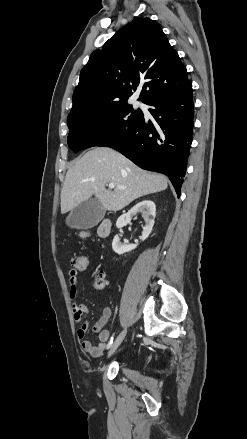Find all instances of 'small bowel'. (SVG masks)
Listing matches in <instances>:
<instances>
[{"instance_id": "small-bowel-1", "label": "small bowel", "mask_w": 247, "mask_h": 439, "mask_svg": "<svg viewBox=\"0 0 247 439\" xmlns=\"http://www.w3.org/2000/svg\"><path fill=\"white\" fill-rule=\"evenodd\" d=\"M69 288L71 298L75 299L78 290V271L74 269H71L69 272ZM72 311L74 319L79 323L77 337L81 340L82 350L92 357H100L106 349L108 345L107 341L110 337V331L104 327L112 316L111 308L104 307L101 316L92 326V331L98 333L99 337V343L96 345H93L90 341L85 339L89 330V323L86 320L89 311L88 307L84 304L74 302L72 304Z\"/></svg>"}]
</instances>
